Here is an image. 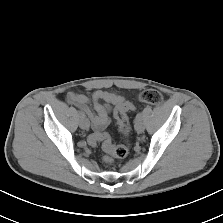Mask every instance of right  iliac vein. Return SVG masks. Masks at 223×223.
<instances>
[{
  "instance_id": "1",
  "label": "right iliac vein",
  "mask_w": 223,
  "mask_h": 223,
  "mask_svg": "<svg viewBox=\"0 0 223 223\" xmlns=\"http://www.w3.org/2000/svg\"><path fill=\"white\" fill-rule=\"evenodd\" d=\"M90 126L89 120L84 116L80 119V127L84 130H87Z\"/></svg>"
}]
</instances>
